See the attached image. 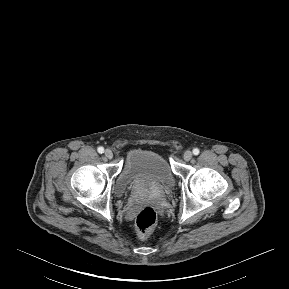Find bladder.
<instances>
[{"instance_id":"1","label":"bladder","mask_w":289,"mask_h":289,"mask_svg":"<svg viewBox=\"0 0 289 289\" xmlns=\"http://www.w3.org/2000/svg\"><path fill=\"white\" fill-rule=\"evenodd\" d=\"M175 183L174 174L160 154L145 149L131 151L115 182L118 197L143 190L168 191Z\"/></svg>"}]
</instances>
